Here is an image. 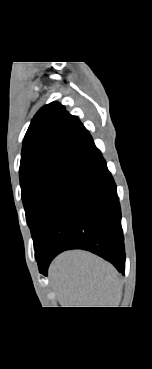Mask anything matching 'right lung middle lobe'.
<instances>
[{"mask_svg": "<svg viewBox=\"0 0 152 369\" xmlns=\"http://www.w3.org/2000/svg\"><path fill=\"white\" fill-rule=\"evenodd\" d=\"M77 165L61 162L29 171L20 177L22 200L34 248L39 244L55 203Z\"/></svg>", "mask_w": 152, "mask_h": 369, "instance_id": "1", "label": "right lung middle lobe"}]
</instances>
